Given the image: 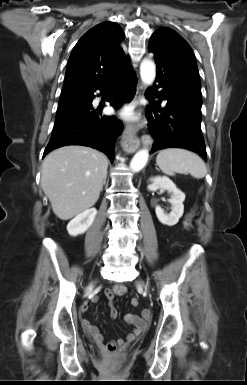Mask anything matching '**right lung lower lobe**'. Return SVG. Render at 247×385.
Instances as JSON below:
<instances>
[{
  "mask_svg": "<svg viewBox=\"0 0 247 385\" xmlns=\"http://www.w3.org/2000/svg\"><path fill=\"white\" fill-rule=\"evenodd\" d=\"M136 78L130 66H126L107 84L90 91L56 114L54 130L43 157L52 150L65 145H84L105 153L111 162L114 159V141L121 134L123 125L114 116L100 117L103 105L93 108L94 92H111L107 101L115 108L132 100L136 93Z\"/></svg>",
  "mask_w": 247,
  "mask_h": 385,
  "instance_id": "98d812e1",
  "label": "right lung lower lobe"
}]
</instances>
